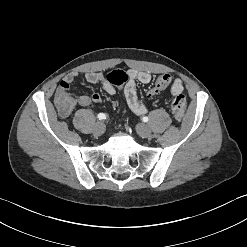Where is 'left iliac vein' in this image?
Here are the masks:
<instances>
[{
  "label": "left iliac vein",
  "mask_w": 247,
  "mask_h": 247,
  "mask_svg": "<svg viewBox=\"0 0 247 247\" xmlns=\"http://www.w3.org/2000/svg\"><path fill=\"white\" fill-rule=\"evenodd\" d=\"M137 134L142 138H148L151 136L150 128L145 124H140L136 127Z\"/></svg>",
  "instance_id": "left-iliac-vein-1"
}]
</instances>
